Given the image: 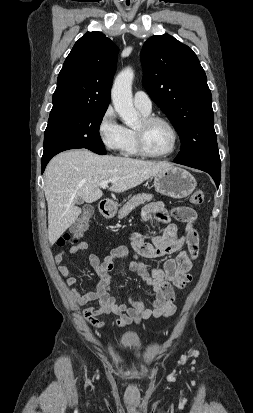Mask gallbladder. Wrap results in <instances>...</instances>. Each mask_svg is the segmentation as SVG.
I'll return each mask as SVG.
<instances>
[{
    "label": "gallbladder",
    "mask_w": 253,
    "mask_h": 413,
    "mask_svg": "<svg viewBox=\"0 0 253 413\" xmlns=\"http://www.w3.org/2000/svg\"><path fill=\"white\" fill-rule=\"evenodd\" d=\"M82 203H83V201L81 199L77 200V204H82Z\"/></svg>",
    "instance_id": "gallbladder-1"
}]
</instances>
